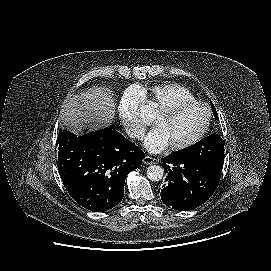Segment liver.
<instances>
[{"mask_svg": "<svg viewBox=\"0 0 271 271\" xmlns=\"http://www.w3.org/2000/svg\"><path fill=\"white\" fill-rule=\"evenodd\" d=\"M115 117V100L108 88L93 87L76 95L65 105L62 123L74 133L83 120L93 129L109 126Z\"/></svg>", "mask_w": 271, "mask_h": 271, "instance_id": "1", "label": "liver"}]
</instances>
